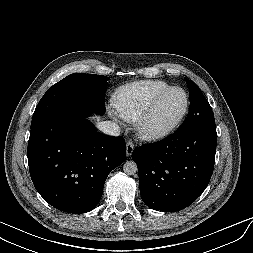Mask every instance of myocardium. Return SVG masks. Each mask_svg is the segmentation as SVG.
<instances>
[{
  "instance_id": "f54148a6",
  "label": "myocardium",
  "mask_w": 253,
  "mask_h": 253,
  "mask_svg": "<svg viewBox=\"0 0 253 253\" xmlns=\"http://www.w3.org/2000/svg\"><path fill=\"white\" fill-rule=\"evenodd\" d=\"M173 91H180L182 92L183 96H184V107L180 113V115L176 118L175 121H173L170 125L161 128V129H154L149 127L148 122L149 119L151 118L152 114L154 113L156 107L158 106V104L160 103V101L169 93L173 92ZM189 110V97L187 92L178 86H172L169 87L167 89H165L164 91L160 92L159 94H157L152 101L150 102V104L148 105V107L146 108V110L143 112V114L140 116V118L137 120L136 122V130L138 135L146 141H159L162 140L166 137H168L169 135H171L183 122V120L185 119L187 113Z\"/></svg>"
}]
</instances>
